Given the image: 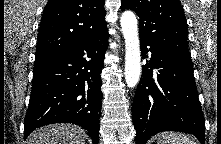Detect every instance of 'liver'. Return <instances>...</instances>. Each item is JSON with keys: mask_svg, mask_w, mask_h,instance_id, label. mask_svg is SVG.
I'll use <instances>...</instances> for the list:
<instances>
[{"mask_svg": "<svg viewBox=\"0 0 221 144\" xmlns=\"http://www.w3.org/2000/svg\"><path fill=\"white\" fill-rule=\"evenodd\" d=\"M85 132L77 125L52 124L30 134L27 144H85Z\"/></svg>", "mask_w": 221, "mask_h": 144, "instance_id": "1", "label": "liver"}]
</instances>
